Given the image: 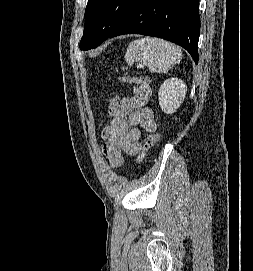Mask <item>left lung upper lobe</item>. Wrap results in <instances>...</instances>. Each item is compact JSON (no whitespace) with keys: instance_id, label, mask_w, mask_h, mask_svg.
Wrapping results in <instances>:
<instances>
[{"instance_id":"5c2ea615","label":"left lung upper lobe","mask_w":253,"mask_h":271,"mask_svg":"<svg viewBox=\"0 0 253 271\" xmlns=\"http://www.w3.org/2000/svg\"><path fill=\"white\" fill-rule=\"evenodd\" d=\"M133 0H88L81 50L96 48L116 29L129 12Z\"/></svg>"}]
</instances>
